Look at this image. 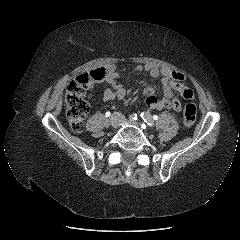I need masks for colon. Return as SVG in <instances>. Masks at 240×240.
Returning <instances> with one entry per match:
<instances>
[{
    "instance_id": "colon-1",
    "label": "colon",
    "mask_w": 240,
    "mask_h": 240,
    "mask_svg": "<svg viewBox=\"0 0 240 240\" xmlns=\"http://www.w3.org/2000/svg\"><path fill=\"white\" fill-rule=\"evenodd\" d=\"M104 68L94 69L88 73L76 76L70 81L66 92V115L72 131L80 133L84 120L89 111V103L85 98L91 84L105 78ZM183 120L186 126H192L196 120V105L193 100H187L183 108Z\"/></svg>"
}]
</instances>
